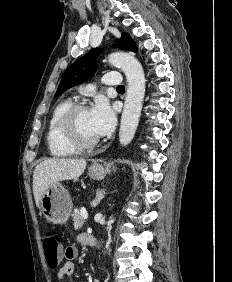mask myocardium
Wrapping results in <instances>:
<instances>
[{
	"label": "myocardium",
	"instance_id": "obj_1",
	"mask_svg": "<svg viewBox=\"0 0 232 282\" xmlns=\"http://www.w3.org/2000/svg\"><path fill=\"white\" fill-rule=\"evenodd\" d=\"M88 110L85 104L76 103L70 106L61 120V132L64 139L77 150L91 149L98 145L100 139L85 140L79 133L77 117L80 112Z\"/></svg>",
	"mask_w": 232,
	"mask_h": 282
}]
</instances>
